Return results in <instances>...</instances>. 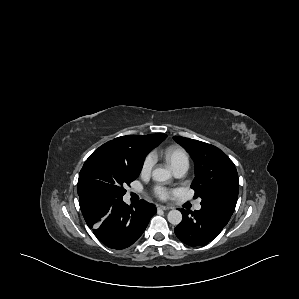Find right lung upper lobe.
Returning <instances> with one entry per match:
<instances>
[{"label":"right lung upper lobe","mask_w":299,"mask_h":299,"mask_svg":"<svg viewBox=\"0 0 299 299\" xmlns=\"http://www.w3.org/2000/svg\"><path fill=\"white\" fill-rule=\"evenodd\" d=\"M167 137L157 133L143 136L127 135L113 139L103 146L115 153L125 163L141 166L146 155Z\"/></svg>","instance_id":"right-lung-upper-lobe-1"}]
</instances>
